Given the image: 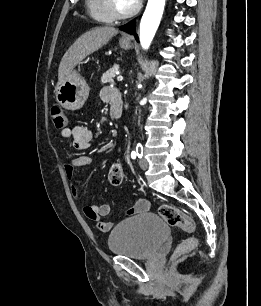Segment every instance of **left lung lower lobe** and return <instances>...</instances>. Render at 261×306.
<instances>
[{
  "mask_svg": "<svg viewBox=\"0 0 261 306\" xmlns=\"http://www.w3.org/2000/svg\"><path fill=\"white\" fill-rule=\"evenodd\" d=\"M121 30L129 33V34H133L136 37V40L138 41V37L136 35V22L135 21H131L130 23L123 25L120 27Z\"/></svg>",
  "mask_w": 261,
  "mask_h": 306,
  "instance_id": "1",
  "label": "left lung lower lobe"
}]
</instances>
